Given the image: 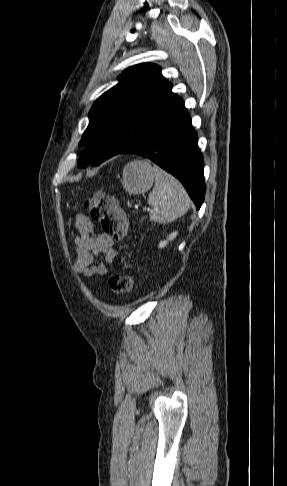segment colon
<instances>
[{
	"mask_svg": "<svg viewBox=\"0 0 287 486\" xmlns=\"http://www.w3.org/2000/svg\"><path fill=\"white\" fill-rule=\"evenodd\" d=\"M85 207L91 217L101 224L103 233L109 235L117 242H123L128 233V220L124 211L118 206L117 200L96 190L85 201ZM109 288L114 296L128 292L132 287V278L125 273H116L110 276Z\"/></svg>",
	"mask_w": 287,
	"mask_h": 486,
	"instance_id": "colon-1",
	"label": "colon"
}]
</instances>
